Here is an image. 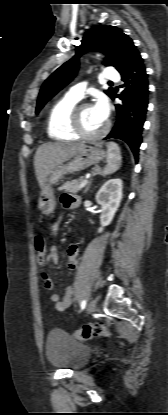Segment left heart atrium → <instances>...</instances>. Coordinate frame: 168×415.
Returning <instances> with one entry per match:
<instances>
[{
	"label": "left heart atrium",
	"instance_id": "39dd6f15",
	"mask_svg": "<svg viewBox=\"0 0 168 415\" xmlns=\"http://www.w3.org/2000/svg\"><path fill=\"white\" fill-rule=\"evenodd\" d=\"M92 108L101 121H106L109 115V105L106 98L102 95H98L95 99Z\"/></svg>",
	"mask_w": 168,
	"mask_h": 415
}]
</instances>
